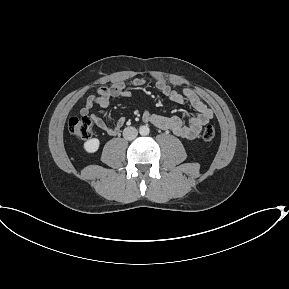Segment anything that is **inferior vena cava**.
<instances>
[{
    "label": "inferior vena cava",
    "mask_w": 289,
    "mask_h": 289,
    "mask_svg": "<svg viewBox=\"0 0 289 289\" xmlns=\"http://www.w3.org/2000/svg\"><path fill=\"white\" fill-rule=\"evenodd\" d=\"M137 130L134 127H126L123 130V137L127 140H133L137 137Z\"/></svg>",
    "instance_id": "1"
}]
</instances>
